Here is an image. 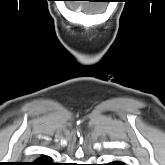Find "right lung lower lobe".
<instances>
[{
	"instance_id": "obj_1",
	"label": "right lung lower lobe",
	"mask_w": 165,
	"mask_h": 165,
	"mask_svg": "<svg viewBox=\"0 0 165 165\" xmlns=\"http://www.w3.org/2000/svg\"><path fill=\"white\" fill-rule=\"evenodd\" d=\"M54 163H50L46 158H40L37 162L31 163V165H53Z\"/></svg>"
}]
</instances>
